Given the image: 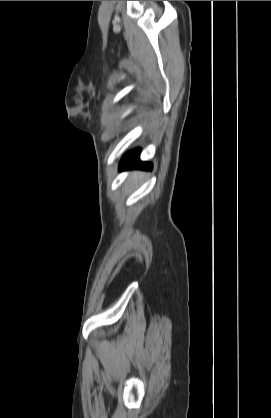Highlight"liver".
<instances>
[{"label":"liver","mask_w":271,"mask_h":418,"mask_svg":"<svg viewBox=\"0 0 271 418\" xmlns=\"http://www.w3.org/2000/svg\"><path fill=\"white\" fill-rule=\"evenodd\" d=\"M139 175H140V173H138V172H133V173L131 174V180L136 181V180H137V178L139 177Z\"/></svg>","instance_id":"1"}]
</instances>
